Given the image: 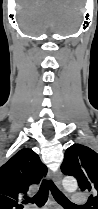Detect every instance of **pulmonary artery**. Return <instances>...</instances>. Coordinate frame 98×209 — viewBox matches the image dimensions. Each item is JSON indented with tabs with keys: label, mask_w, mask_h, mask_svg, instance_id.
Returning <instances> with one entry per match:
<instances>
[{
	"label": "pulmonary artery",
	"mask_w": 98,
	"mask_h": 209,
	"mask_svg": "<svg viewBox=\"0 0 98 209\" xmlns=\"http://www.w3.org/2000/svg\"><path fill=\"white\" fill-rule=\"evenodd\" d=\"M72 203L77 206V205H84L87 202L86 197L82 196L80 193L76 192L72 194Z\"/></svg>",
	"instance_id": "e3ab8cb5"
}]
</instances>
